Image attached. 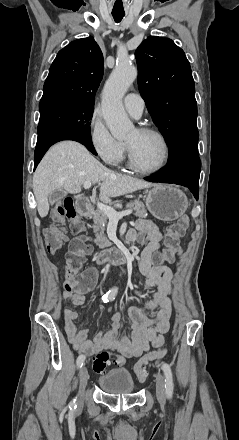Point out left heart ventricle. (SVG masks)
I'll use <instances>...</instances> for the list:
<instances>
[{
    "instance_id": "left-heart-ventricle-1",
    "label": "left heart ventricle",
    "mask_w": 239,
    "mask_h": 440,
    "mask_svg": "<svg viewBox=\"0 0 239 440\" xmlns=\"http://www.w3.org/2000/svg\"><path fill=\"white\" fill-rule=\"evenodd\" d=\"M125 141L132 149L136 162L140 167L154 169L162 163L164 146L157 136L141 133L135 129Z\"/></svg>"
}]
</instances>
